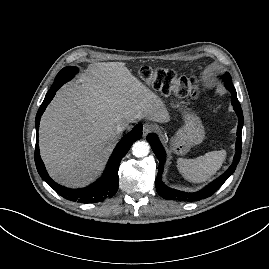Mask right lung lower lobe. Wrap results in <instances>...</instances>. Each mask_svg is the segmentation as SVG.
<instances>
[{"label": "right lung lower lobe", "instance_id": "98d812e1", "mask_svg": "<svg viewBox=\"0 0 269 269\" xmlns=\"http://www.w3.org/2000/svg\"><path fill=\"white\" fill-rule=\"evenodd\" d=\"M63 85V82H54L50 90L46 94V97L41 104L35 119L36 133L38 136L40 118L45 111L47 105L53 99L56 91ZM142 124L136 125L131 132L125 135L114 149L105 169L102 177L83 189H68L57 183H55L48 175L45 166L40 158L38 137L36 138L35 146V164L41 178L46 181L60 196L67 200L80 202V203H92L101 202L105 199L111 198L116 194L118 189V169L122 158L126 155L133 142L139 140L142 137Z\"/></svg>", "mask_w": 269, "mask_h": 269}]
</instances>
